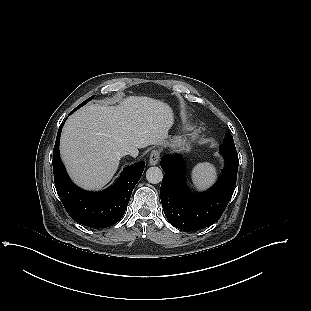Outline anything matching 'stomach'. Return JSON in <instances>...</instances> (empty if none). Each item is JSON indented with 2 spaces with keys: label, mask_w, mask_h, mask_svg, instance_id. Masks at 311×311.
I'll use <instances>...</instances> for the list:
<instances>
[{
  "label": "stomach",
  "mask_w": 311,
  "mask_h": 311,
  "mask_svg": "<svg viewBox=\"0 0 311 311\" xmlns=\"http://www.w3.org/2000/svg\"><path fill=\"white\" fill-rule=\"evenodd\" d=\"M172 147H180L181 150H188L189 149V146L180 141L178 138H175L173 141H172Z\"/></svg>",
  "instance_id": "0dacf381"
}]
</instances>
